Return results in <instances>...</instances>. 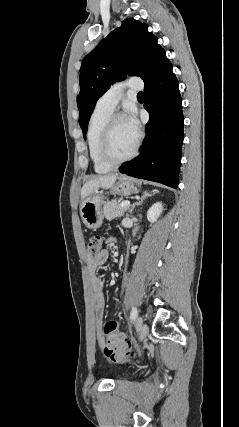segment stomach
<instances>
[{
  "label": "stomach",
  "mask_w": 239,
  "mask_h": 427,
  "mask_svg": "<svg viewBox=\"0 0 239 427\" xmlns=\"http://www.w3.org/2000/svg\"><path fill=\"white\" fill-rule=\"evenodd\" d=\"M139 192V185L136 180L129 177H121L111 188V193L121 196H129ZM103 196L94 193L87 197L80 205V214L83 223L90 229H97L102 225L103 214L101 206Z\"/></svg>",
  "instance_id": "obj_1"
}]
</instances>
